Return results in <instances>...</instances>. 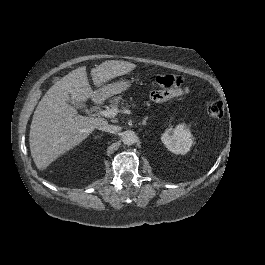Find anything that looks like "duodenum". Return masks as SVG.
I'll return each instance as SVG.
<instances>
[{
    "mask_svg": "<svg viewBox=\"0 0 265 265\" xmlns=\"http://www.w3.org/2000/svg\"><path fill=\"white\" fill-rule=\"evenodd\" d=\"M93 101H94V102H97V101H98V97L95 96V97L93 98Z\"/></svg>",
    "mask_w": 265,
    "mask_h": 265,
    "instance_id": "1",
    "label": "duodenum"
}]
</instances>
